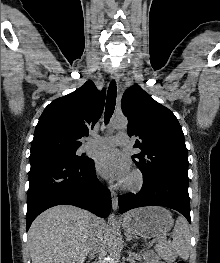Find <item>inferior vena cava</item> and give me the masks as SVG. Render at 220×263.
Returning a JSON list of instances; mask_svg holds the SVG:
<instances>
[{"label":"inferior vena cava","mask_w":220,"mask_h":263,"mask_svg":"<svg viewBox=\"0 0 220 263\" xmlns=\"http://www.w3.org/2000/svg\"><path fill=\"white\" fill-rule=\"evenodd\" d=\"M101 241H102V230L98 228H92L90 235V247H89L90 257L94 256Z\"/></svg>","instance_id":"obj_1"}]
</instances>
